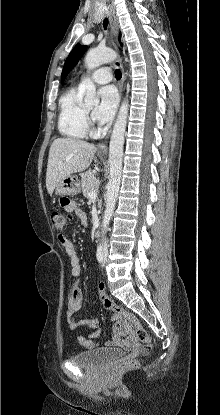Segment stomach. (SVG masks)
Instances as JSON below:
<instances>
[{
	"instance_id": "obj_1",
	"label": "stomach",
	"mask_w": 220,
	"mask_h": 415,
	"mask_svg": "<svg viewBox=\"0 0 220 415\" xmlns=\"http://www.w3.org/2000/svg\"><path fill=\"white\" fill-rule=\"evenodd\" d=\"M80 180L75 175H70L60 181L55 187V192L60 196H74L80 193Z\"/></svg>"
}]
</instances>
